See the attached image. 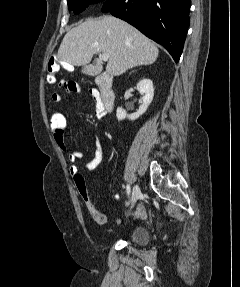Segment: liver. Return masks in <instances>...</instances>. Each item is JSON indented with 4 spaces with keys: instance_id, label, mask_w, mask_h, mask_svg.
Instances as JSON below:
<instances>
[{
    "instance_id": "liver-1",
    "label": "liver",
    "mask_w": 240,
    "mask_h": 287,
    "mask_svg": "<svg viewBox=\"0 0 240 287\" xmlns=\"http://www.w3.org/2000/svg\"><path fill=\"white\" fill-rule=\"evenodd\" d=\"M109 56L106 72L120 76L128 69L156 61L157 46L135 27L113 16L89 19L63 38L57 57L62 64L83 66L94 54Z\"/></svg>"
}]
</instances>
